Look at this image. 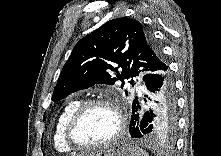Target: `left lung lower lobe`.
<instances>
[{
  "label": "left lung lower lobe",
  "mask_w": 221,
  "mask_h": 156,
  "mask_svg": "<svg viewBox=\"0 0 221 156\" xmlns=\"http://www.w3.org/2000/svg\"><path fill=\"white\" fill-rule=\"evenodd\" d=\"M143 94L132 103V138H171L177 124L176 93L169 66L141 77Z\"/></svg>",
  "instance_id": "left-lung-lower-lobe-1"
}]
</instances>
